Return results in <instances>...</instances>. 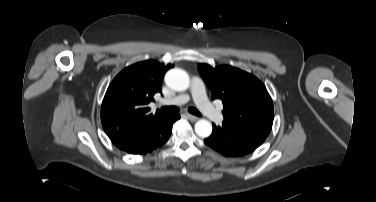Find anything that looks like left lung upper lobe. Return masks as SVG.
Instances as JSON below:
<instances>
[{"mask_svg":"<svg viewBox=\"0 0 376 202\" xmlns=\"http://www.w3.org/2000/svg\"><path fill=\"white\" fill-rule=\"evenodd\" d=\"M212 99L222 100L224 122L268 136L274 119L272 99L263 83L240 69L199 64Z\"/></svg>","mask_w":376,"mask_h":202,"instance_id":"5c2ea615","label":"left lung upper lobe"}]
</instances>
